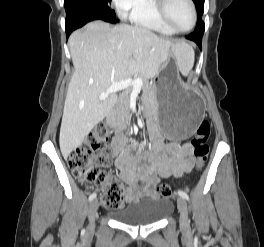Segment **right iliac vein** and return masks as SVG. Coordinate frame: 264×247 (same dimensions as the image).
<instances>
[{
    "label": "right iliac vein",
    "instance_id": "obj_1",
    "mask_svg": "<svg viewBox=\"0 0 264 247\" xmlns=\"http://www.w3.org/2000/svg\"><path fill=\"white\" fill-rule=\"evenodd\" d=\"M97 210H98V201L93 200L89 205V213H88L90 231L94 229V222H95Z\"/></svg>",
    "mask_w": 264,
    "mask_h": 247
}]
</instances>
